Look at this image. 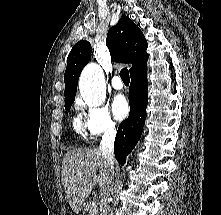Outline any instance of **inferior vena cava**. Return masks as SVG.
Here are the masks:
<instances>
[{
  "label": "inferior vena cava",
  "instance_id": "inferior-vena-cava-1",
  "mask_svg": "<svg viewBox=\"0 0 221 215\" xmlns=\"http://www.w3.org/2000/svg\"><path fill=\"white\" fill-rule=\"evenodd\" d=\"M116 136L115 128H109L105 131L102 141L100 143V150L103 158L107 161L109 165V183L101 195V204H100V215H111V207L109 204V198L113 191V180H114V141Z\"/></svg>",
  "mask_w": 221,
  "mask_h": 215
}]
</instances>
